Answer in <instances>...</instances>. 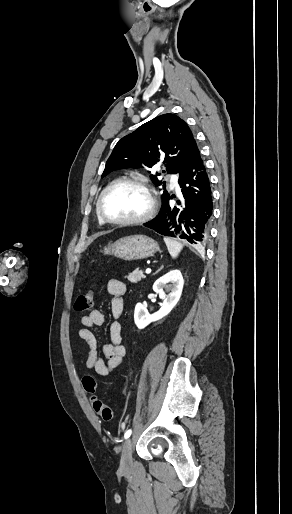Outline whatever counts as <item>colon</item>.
<instances>
[{
  "instance_id": "1",
  "label": "colon",
  "mask_w": 292,
  "mask_h": 514,
  "mask_svg": "<svg viewBox=\"0 0 292 514\" xmlns=\"http://www.w3.org/2000/svg\"><path fill=\"white\" fill-rule=\"evenodd\" d=\"M94 303V292L93 290H87L79 294L75 301V310L79 313L87 312L90 310ZM83 386L87 390L88 394L94 396L97 394L98 389L96 387V382L93 379L91 373L86 372L82 376ZM93 405L95 411L104 419L109 420L113 417V411L111 407L103 404V402L99 399H93L90 401Z\"/></svg>"
}]
</instances>
